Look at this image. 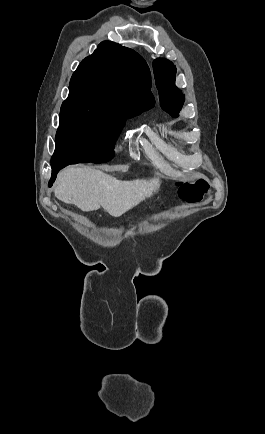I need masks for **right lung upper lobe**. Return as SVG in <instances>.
I'll return each mask as SVG.
<instances>
[{"label": "right lung upper lobe", "instance_id": "obj_1", "mask_svg": "<svg viewBox=\"0 0 265 434\" xmlns=\"http://www.w3.org/2000/svg\"><path fill=\"white\" fill-rule=\"evenodd\" d=\"M87 87L105 93L110 99L154 106L150 91L151 75L145 60L120 44L101 42L72 75L69 88Z\"/></svg>", "mask_w": 265, "mask_h": 434}]
</instances>
